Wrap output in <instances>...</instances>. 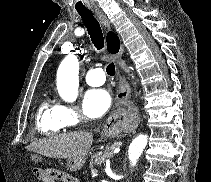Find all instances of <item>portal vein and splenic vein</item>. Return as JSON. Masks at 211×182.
<instances>
[{
  "mask_svg": "<svg viewBox=\"0 0 211 182\" xmlns=\"http://www.w3.org/2000/svg\"><path fill=\"white\" fill-rule=\"evenodd\" d=\"M119 150H120V149H115V150H114V153H118ZM97 172H98L97 169H92V170H91V173H92V174H96Z\"/></svg>",
  "mask_w": 211,
  "mask_h": 182,
  "instance_id": "18ae733b",
  "label": "portal vein and splenic vein"
}]
</instances>
